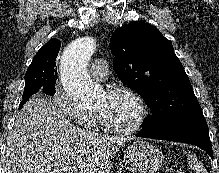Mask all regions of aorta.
Masks as SVG:
<instances>
[{
  "label": "aorta",
  "instance_id": "aorta-1",
  "mask_svg": "<svg viewBox=\"0 0 219 173\" xmlns=\"http://www.w3.org/2000/svg\"><path fill=\"white\" fill-rule=\"evenodd\" d=\"M95 48L94 38L81 37L70 43L61 57L60 73L64 90L77 101H92L100 91L87 73V64Z\"/></svg>",
  "mask_w": 219,
  "mask_h": 173
}]
</instances>
